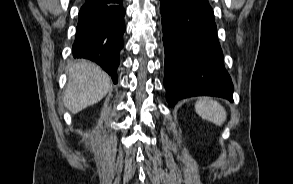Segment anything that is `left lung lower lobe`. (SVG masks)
<instances>
[{
  "label": "left lung lower lobe",
  "instance_id": "obj_1",
  "mask_svg": "<svg viewBox=\"0 0 293 184\" xmlns=\"http://www.w3.org/2000/svg\"><path fill=\"white\" fill-rule=\"evenodd\" d=\"M165 47L164 86L172 107L191 96L233 101L214 13L208 0H160Z\"/></svg>",
  "mask_w": 293,
  "mask_h": 184
}]
</instances>
